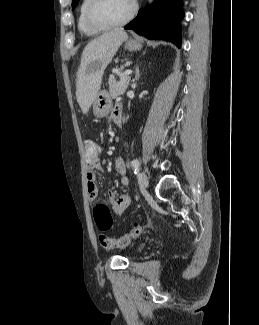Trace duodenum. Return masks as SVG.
<instances>
[{
	"mask_svg": "<svg viewBox=\"0 0 259 325\" xmlns=\"http://www.w3.org/2000/svg\"><path fill=\"white\" fill-rule=\"evenodd\" d=\"M116 124L120 127L121 126V118L116 119Z\"/></svg>",
	"mask_w": 259,
	"mask_h": 325,
	"instance_id": "obj_1",
	"label": "duodenum"
}]
</instances>
